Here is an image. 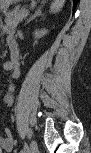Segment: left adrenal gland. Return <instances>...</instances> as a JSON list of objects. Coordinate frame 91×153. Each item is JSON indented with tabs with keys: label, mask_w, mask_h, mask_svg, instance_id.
<instances>
[{
	"label": "left adrenal gland",
	"mask_w": 91,
	"mask_h": 153,
	"mask_svg": "<svg viewBox=\"0 0 91 153\" xmlns=\"http://www.w3.org/2000/svg\"><path fill=\"white\" fill-rule=\"evenodd\" d=\"M37 16H42V13L40 11V9H37L34 13V15H32L31 17H29L27 19V23H29L31 20L35 19Z\"/></svg>",
	"instance_id": "1"
}]
</instances>
